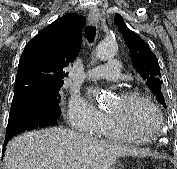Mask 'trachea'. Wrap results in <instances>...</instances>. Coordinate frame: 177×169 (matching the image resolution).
I'll list each match as a JSON object with an SVG mask.
<instances>
[{
    "instance_id": "3493384b",
    "label": "trachea",
    "mask_w": 177,
    "mask_h": 169,
    "mask_svg": "<svg viewBox=\"0 0 177 169\" xmlns=\"http://www.w3.org/2000/svg\"><path fill=\"white\" fill-rule=\"evenodd\" d=\"M85 34H86V38H87L88 42L92 43L94 41L95 34H96L95 27L91 26V25L86 26Z\"/></svg>"
}]
</instances>
